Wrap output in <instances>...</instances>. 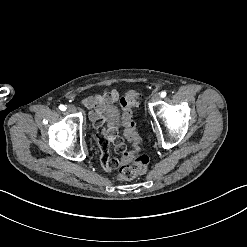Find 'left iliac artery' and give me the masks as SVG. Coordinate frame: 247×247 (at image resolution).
<instances>
[{
	"label": "left iliac artery",
	"mask_w": 247,
	"mask_h": 247,
	"mask_svg": "<svg viewBox=\"0 0 247 247\" xmlns=\"http://www.w3.org/2000/svg\"><path fill=\"white\" fill-rule=\"evenodd\" d=\"M166 95H167V93H166L165 91L161 92V94H160V96H161L162 98H164Z\"/></svg>",
	"instance_id": "44dca946"
}]
</instances>
